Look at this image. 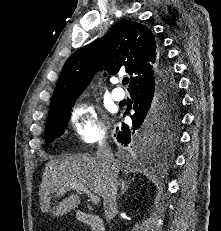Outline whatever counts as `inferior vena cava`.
Wrapping results in <instances>:
<instances>
[{
    "mask_svg": "<svg viewBox=\"0 0 221 231\" xmlns=\"http://www.w3.org/2000/svg\"><path fill=\"white\" fill-rule=\"evenodd\" d=\"M106 138L99 144L96 152V159L105 172V195L104 213L106 220L113 218L117 210V191H118V168L111 148L106 143Z\"/></svg>",
    "mask_w": 221,
    "mask_h": 231,
    "instance_id": "inferior-vena-cava-1",
    "label": "inferior vena cava"
}]
</instances>
